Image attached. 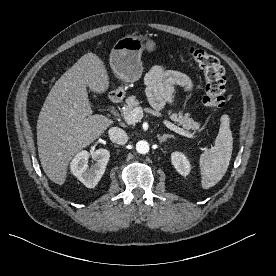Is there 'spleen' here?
Listing matches in <instances>:
<instances>
[{
    "label": "spleen",
    "mask_w": 276,
    "mask_h": 276,
    "mask_svg": "<svg viewBox=\"0 0 276 276\" xmlns=\"http://www.w3.org/2000/svg\"><path fill=\"white\" fill-rule=\"evenodd\" d=\"M233 137L230 130V118L222 115L215 145L204 151L199 160L202 188L216 185L225 175L232 155Z\"/></svg>",
    "instance_id": "1"
}]
</instances>
